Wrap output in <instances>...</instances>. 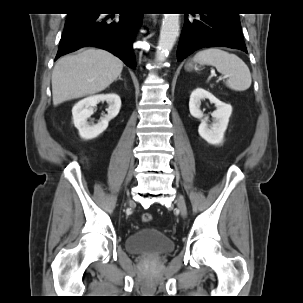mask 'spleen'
<instances>
[{
    "instance_id": "3e777b00",
    "label": "spleen",
    "mask_w": 303,
    "mask_h": 303,
    "mask_svg": "<svg viewBox=\"0 0 303 303\" xmlns=\"http://www.w3.org/2000/svg\"><path fill=\"white\" fill-rule=\"evenodd\" d=\"M194 61L216 67L219 73L228 77L226 85L232 90L244 91L251 85L248 66L235 54L219 48H209L196 53Z\"/></svg>"
}]
</instances>
